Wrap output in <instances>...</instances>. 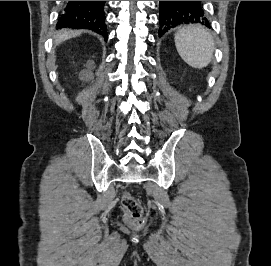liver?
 Masks as SVG:
<instances>
[{"instance_id": "6515ba94", "label": "liver", "mask_w": 271, "mask_h": 266, "mask_svg": "<svg viewBox=\"0 0 271 266\" xmlns=\"http://www.w3.org/2000/svg\"><path fill=\"white\" fill-rule=\"evenodd\" d=\"M81 32L80 31H72V30H60L57 32L55 36V43L60 44L61 42L70 39L74 36L79 35Z\"/></svg>"}]
</instances>
